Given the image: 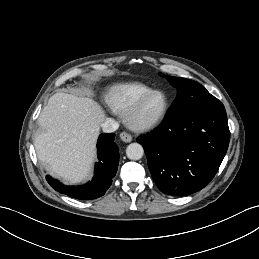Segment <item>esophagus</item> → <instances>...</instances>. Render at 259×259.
I'll use <instances>...</instances> for the list:
<instances>
[{
    "label": "esophagus",
    "mask_w": 259,
    "mask_h": 259,
    "mask_svg": "<svg viewBox=\"0 0 259 259\" xmlns=\"http://www.w3.org/2000/svg\"><path fill=\"white\" fill-rule=\"evenodd\" d=\"M120 138L125 143H129V142L132 141V136L129 133H126V132L120 133Z\"/></svg>",
    "instance_id": "obj_1"
}]
</instances>
